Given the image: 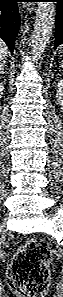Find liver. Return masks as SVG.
Here are the masks:
<instances>
[{
  "label": "liver",
  "mask_w": 63,
  "mask_h": 297,
  "mask_svg": "<svg viewBox=\"0 0 63 297\" xmlns=\"http://www.w3.org/2000/svg\"><path fill=\"white\" fill-rule=\"evenodd\" d=\"M7 46L3 41L0 42V66L5 63V59L7 56Z\"/></svg>",
  "instance_id": "liver-1"
}]
</instances>
